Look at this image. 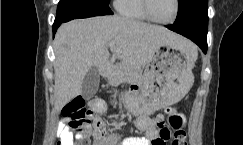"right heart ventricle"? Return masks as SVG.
Instances as JSON below:
<instances>
[{
  "label": "right heart ventricle",
  "mask_w": 243,
  "mask_h": 145,
  "mask_svg": "<svg viewBox=\"0 0 243 145\" xmlns=\"http://www.w3.org/2000/svg\"><path fill=\"white\" fill-rule=\"evenodd\" d=\"M116 9L121 16L127 19L149 21L142 9L141 0H117Z\"/></svg>",
  "instance_id": "obj_1"
}]
</instances>
